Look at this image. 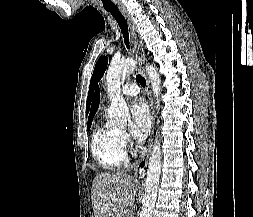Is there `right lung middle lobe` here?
Returning <instances> with one entry per match:
<instances>
[{
  "label": "right lung middle lobe",
  "instance_id": "dd1d6c3e",
  "mask_svg": "<svg viewBox=\"0 0 253 217\" xmlns=\"http://www.w3.org/2000/svg\"><path fill=\"white\" fill-rule=\"evenodd\" d=\"M91 123H92V122H90V123L87 124V130H88V131H89L90 127H91Z\"/></svg>",
  "mask_w": 253,
  "mask_h": 217
}]
</instances>
